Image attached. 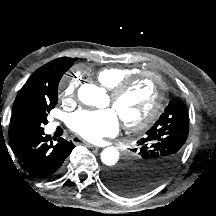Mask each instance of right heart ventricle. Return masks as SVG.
Masks as SVG:
<instances>
[{"label":"right heart ventricle","instance_id":"obj_1","mask_svg":"<svg viewBox=\"0 0 216 216\" xmlns=\"http://www.w3.org/2000/svg\"><path fill=\"white\" fill-rule=\"evenodd\" d=\"M138 72L130 66H109L102 68L96 74L97 81L105 88L111 90L124 79Z\"/></svg>","mask_w":216,"mask_h":216}]
</instances>
